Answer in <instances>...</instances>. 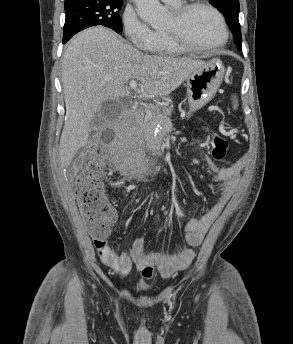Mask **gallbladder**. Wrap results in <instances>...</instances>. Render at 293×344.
Returning <instances> with one entry per match:
<instances>
[{
    "label": "gallbladder",
    "mask_w": 293,
    "mask_h": 344,
    "mask_svg": "<svg viewBox=\"0 0 293 344\" xmlns=\"http://www.w3.org/2000/svg\"><path fill=\"white\" fill-rule=\"evenodd\" d=\"M121 111L117 100H109L101 105L92 119V124L98 128L103 127L107 122L116 118Z\"/></svg>",
    "instance_id": "1"
}]
</instances>
